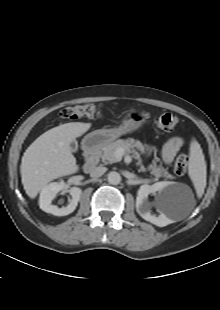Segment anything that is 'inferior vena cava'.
<instances>
[{"label":"inferior vena cava","mask_w":220,"mask_h":310,"mask_svg":"<svg viewBox=\"0 0 220 310\" xmlns=\"http://www.w3.org/2000/svg\"><path fill=\"white\" fill-rule=\"evenodd\" d=\"M106 170L107 168L103 166L96 167L91 171L90 176L92 178H99L106 172Z\"/></svg>","instance_id":"602c4592"}]
</instances>
